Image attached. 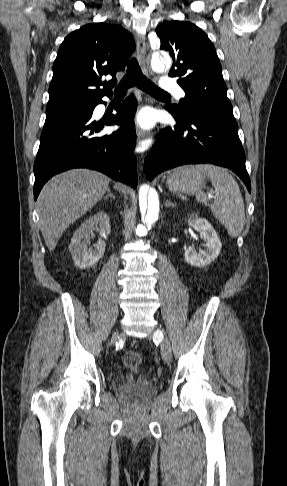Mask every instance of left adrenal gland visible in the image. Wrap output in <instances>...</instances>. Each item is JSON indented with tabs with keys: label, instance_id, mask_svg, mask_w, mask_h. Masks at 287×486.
<instances>
[{
	"label": "left adrenal gland",
	"instance_id": "1",
	"mask_svg": "<svg viewBox=\"0 0 287 486\" xmlns=\"http://www.w3.org/2000/svg\"><path fill=\"white\" fill-rule=\"evenodd\" d=\"M176 204L172 203L171 201H165V207H175Z\"/></svg>",
	"mask_w": 287,
	"mask_h": 486
}]
</instances>
